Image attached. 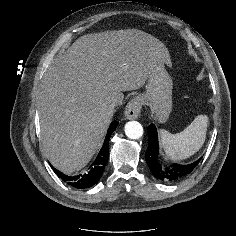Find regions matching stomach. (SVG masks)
Masks as SVG:
<instances>
[{
    "mask_svg": "<svg viewBox=\"0 0 236 236\" xmlns=\"http://www.w3.org/2000/svg\"><path fill=\"white\" fill-rule=\"evenodd\" d=\"M173 82L164 68V63H157L150 71L147 79L146 92L141 100L148 105L155 119L164 123L172 110Z\"/></svg>",
    "mask_w": 236,
    "mask_h": 236,
    "instance_id": "1",
    "label": "stomach"
}]
</instances>
